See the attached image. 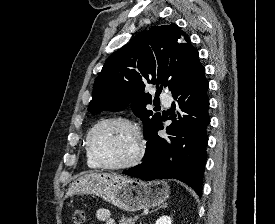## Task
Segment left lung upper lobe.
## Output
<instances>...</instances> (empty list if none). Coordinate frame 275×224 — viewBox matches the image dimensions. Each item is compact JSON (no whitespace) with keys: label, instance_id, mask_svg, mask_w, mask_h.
<instances>
[{"label":"left lung upper lobe","instance_id":"obj_1","mask_svg":"<svg viewBox=\"0 0 275 224\" xmlns=\"http://www.w3.org/2000/svg\"><path fill=\"white\" fill-rule=\"evenodd\" d=\"M198 51L176 25L153 26L138 33L127 45L106 60L94 82L88 111L131 109L144 123V137L161 122L146 106L152 97L144 92L149 83L172 93L202 68Z\"/></svg>","mask_w":275,"mask_h":224}]
</instances>
